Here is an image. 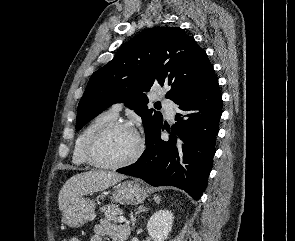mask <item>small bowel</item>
I'll list each match as a JSON object with an SVG mask.
<instances>
[{
  "label": "small bowel",
  "mask_w": 295,
  "mask_h": 241,
  "mask_svg": "<svg viewBox=\"0 0 295 241\" xmlns=\"http://www.w3.org/2000/svg\"><path fill=\"white\" fill-rule=\"evenodd\" d=\"M129 234V227L119 226L110 221L103 220L94 226L93 234L89 241H103L105 237L110 238L111 241H126Z\"/></svg>",
  "instance_id": "small-bowel-1"
}]
</instances>
